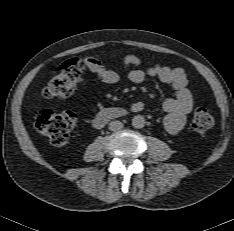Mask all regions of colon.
I'll use <instances>...</instances> for the list:
<instances>
[{
    "label": "colon",
    "mask_w": 234,
    "mask_h": 231,
    "mask_svg": "<svg viewBox=\"0 0 234 231\" xmlns=\"http://www.w3.org/2000/svg\"><path fill=\"white\" fill-rule=\"evenodd\" d=\"M88 65L86 59H74L65 62L43 89V96L62 99L70 96L81 82ZM76 124V117L70 111L54 112L44 110L35 119L37 131L46 136L51 145L62 147L67 144L70 132ZM214 120L205 107H198L193 115L192 127L198 133L212 128Z\"/></svg>",
    "instance_id": "1"
}]
</instances>
